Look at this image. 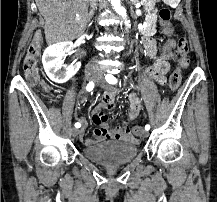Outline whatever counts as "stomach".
<instances>
[{"mask_svg": "<svg viewBox=\"0 0 217 202\" xmlns=\"http://www.w3.org/2000/svg\"><path fill=\"white\" fill-rule=\"evenodd\" d=\"M144 2L146 4V10L150 12V10H153L156 0H144Z\"/></svg>", "mask_w": 217, "mask_h": 202, "instance_id": "stomach-1", "label": "stomach"}]
</instances>
